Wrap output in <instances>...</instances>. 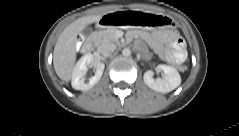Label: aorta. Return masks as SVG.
<instances>
[{
	"mask_svg": "<svg viewBox=\"0 0 239 136\" xmlns=\"http://www.w3.org/2000/svg\"><path fill=\"white\" fill-rule=\"evenodd\" d=\"M122 54H123V56L127 57V56H130L131 51H130L129 48H124V49L122 50Z\"/></svg>",
	"mask_w": 239,
	"mask_h": 136,
	"instance_id": "obj_1",
	"label": "aorta"
}]
</instances>
